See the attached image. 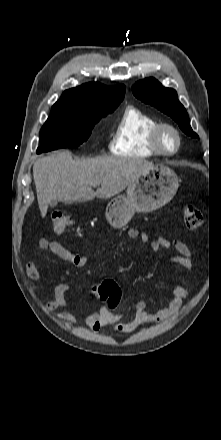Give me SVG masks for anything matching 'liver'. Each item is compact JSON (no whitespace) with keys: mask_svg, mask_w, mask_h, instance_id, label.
Segmentation results:
<instances>
[{"mask_svg":"<svg viewBox=\"0 0 221 440\" xmlns=\"http://www.w3.org/2000/svg\"><path fill=\"white\" fill-rule=\"evenodd\" d=\"M153 166L127 157L74 160L69 151L39 158L33 165V178L41 216H46L51 201L69 204L110 198ZM96 185L101 187L94 192L92 186Z\"/></svg>","mask_w":221,"mask_h":440,"instance_id":"6515ba94","label":"liver"}]
</instances>
